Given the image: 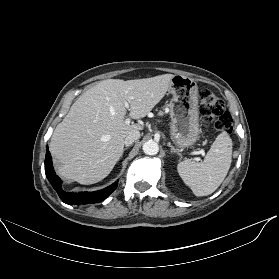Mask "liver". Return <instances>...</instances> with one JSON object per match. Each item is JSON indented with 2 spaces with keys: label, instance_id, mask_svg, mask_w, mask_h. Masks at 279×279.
<instances>
[{
  "label": "liver",
  "instance_id": "liver-1",
  "mask_svg": "<svg viewBox=\"0 0 279 279\" xmlns=\"http://www.w3.org/2000/svg\"><path fill=\"white\" fill-rule=\"evenodd\" d=\"M173 76L107 79L84 92L51 137L49 149L57 172L84 185L107 177L123 153L125 137L143 129L125 123V101L131 118H144L165 96Z\"/></svg>",
  "mask_w": 279,
  "mask_h": 279
}]
</instances>
